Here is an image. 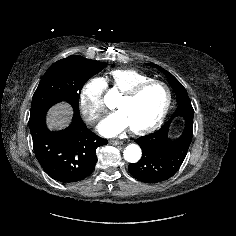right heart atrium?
<instances>
[{
    "mask_svg": "<svg viewBox=\"0 0 236 236\" xmlns=\"http://www.w3.org/2000/svg\"><path fill=\"white\" fill-rule=\"evenodd\" d=\"M104 91L105 84L100 78L88 80L81 89L80 109L83 118L90 125L98 123L106 113Z\"/></svg>",
    "mask_w": 236,
    "mask_h": 236,
    "instance_id": "right-heart-atrium-1",
    "label": "right heart atrium"
}]
</instances>
